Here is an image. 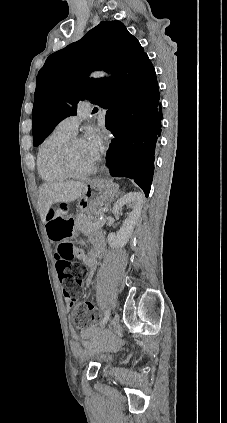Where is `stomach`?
Returning <instances> with one entry per match:
<instances>
[{
  "label": "stomach",
  "instance_id": "stomach-1",
  "mask_svg": "<svg viewBox=\"0 0 227 423\" xmlns=\"http://www.w3.org/2000/svg\"><path fill=\"white\" fill-rule=\"evenodd\" d=\"M118 194V186L109 180H90L79 196L77 208L84 213H94L100 204L112 202Z\"/></svg>",
  "mask_w": 227,
  "mask_h": 423
}]
</instances>
